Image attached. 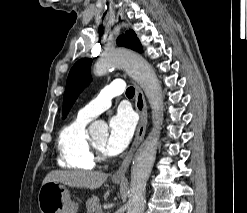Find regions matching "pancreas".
I'll return each mask as SVG.
<instances>
[{
	"mask_svg": "<svg viewBox=\"0 0 247 213\" xmlns=\"http://www.w3.org/2000/svg\"><path fill=\"white\" fill-rule=\"evenodd\" d=\"M86 209L87 213H103L100 200L95 195L88 198L86 202Z\"/></svg>",
	"mask_w": 247,
	"mask_h": 213,
	"instance_id": "1",
	"label": "pancreas"
}]
</instances>
